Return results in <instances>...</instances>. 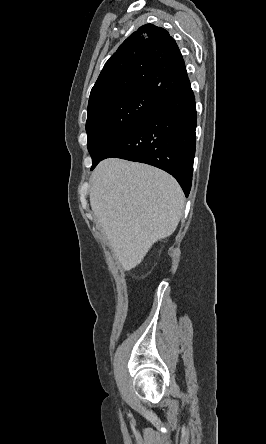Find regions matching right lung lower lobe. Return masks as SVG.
<instances>
[{
  "mask_svg": "<svg viewBox=\"0 0 266 444\" xmlns=\"http://www.w3.org/2000/svg\"><path fill=\"white\" fill-rule=\"evenodd\" d=\"M196 108L191 87L161 100L135 128L119 138L103 159L146 163L171 174L188 197L196 144Z\"/></svg>",
  "mask_w": 266,
  "mask_h": 444,
  "instance_id": "right-lung-lower-lobe-1",
  "label": "right lung lower lobe"
}]
</instances>
